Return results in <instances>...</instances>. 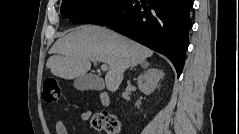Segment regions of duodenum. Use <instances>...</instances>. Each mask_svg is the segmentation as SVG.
<instances>
[{
    "label": "duodenum",
    "mask_w": 239,
    "mask_h": 134,
    "mask_svg": "<svg viewBox=\"0 0 239 134\" xmlns=\"http://www.w3.org/2000/svg\"><path fill=\"white\" fill-rule=\"evenodd\" d=\"M101 98H102V101H103V103H104L105 105H109V104H110V99H109V97H108L107 94H102V95H101Z\"/></svg>",
    "instance_id": "duodenum-1"
}]
</instances>
